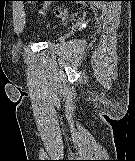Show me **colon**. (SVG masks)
Segmentation results:
<instances>
[{"label": "colon", "mask_w": 135, "mask_h": 161, "mask_svg": "<svg viewBox=\"0 0 135 161\" xmlns=\"http://www.w3.org/2000/svg\"><path fill=\"white\" fill-rule=\"evenodd\" d=\"M19 1H28V0H19ZM67 14H68V12L65 11V10H61V9L55 10V15H56L57 17H64V16H66Z\"/></svg>", "instance_id": "5ec220e1"}]
</instances>
